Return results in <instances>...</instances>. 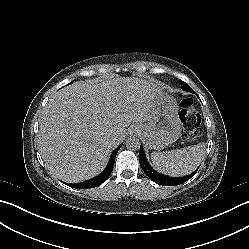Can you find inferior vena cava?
I'll return each mask as SVG.
<instances>
[{
  "mask_svg": "<svg viewBox=\"0 0 249 249\" xmlns=\"http://www.w3.org/2000/svg\"><path fill=\"white\" fill-rule=\"evenodd\" d=\"M117 135L113 138V141L115 142V141H117Z\"/></svg>",
  "mask_w": 249,
  "mask_h": 249,
  "instance_id": "obj_1",
  "label": "inferior vena cava"
}]
</instances>
